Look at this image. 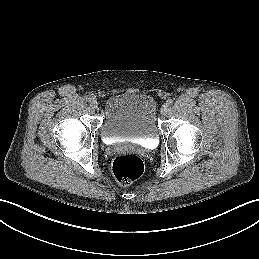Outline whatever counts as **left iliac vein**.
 <instances>
[{
	"mask_svg": "<svg viewBox=\"0 0 259 259\" xmlns=\"http://www.w3.org/2000/svg\"><path fill=\"white\" fill-rule=\"evenodd\" d=\"M160 112H161V114L166 115L167 112H168V106H167V105H163V106L161 107Z\"/></svg>",
	"mask_w": 259,
	"mask_h": 259,
	"instance_id": "4c4485c4",
	"label": "left iliac vein"
}]
</instances>
